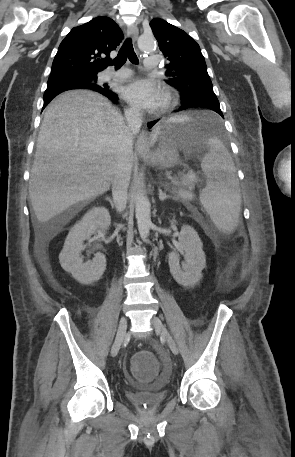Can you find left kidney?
Masks as SVG:
<instances>
[{
    "instance_id": "1",
    "label": "left kidney",
    "mask_w": 295,
    "mask_h": 457,
    "mask_svg": "<svg viewBox=\"0 0 295 457\" xmlns=\"http://www.w3.org/2000/svg\"><path fill=\"white\" fill-rule=\"evenodd\" d=\"M171 224L176 223L175 218ZM179 246L168 256L170 273L178 284L185 288L194 287L202 277V270L206 266V257L202 249L203 244L194 228L184 225L179 234ZM178 252L184 254L185 262L179 264Z\"/></svg>"
}]
</instances>
